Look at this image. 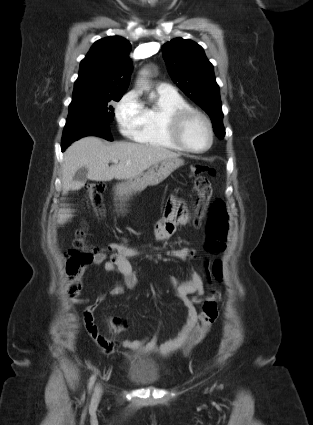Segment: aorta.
<instances>
[{
	"label": "aorta",
	"mask_w": 313,
	"mask_h": 425,
	"mask_svg": "<svg viewBox=\"0 0 313 425\" xmlns=\"http://www.w3.org/2000/svg\"><path fill=\"white\" fill-rule=\"evenodd\" d=\"M145 72H141V76L137 79V86L142 87L144 89H146L148 87L147 82H146V78H145Z\"/></svg>",
	"instance_id": "762f6f07"
}]
</instances>
